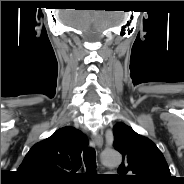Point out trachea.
I'll use <instances>...</instances> for the list:
<instances>
[{"label": "trachea", "mask_w": 184, "mask_h": 184, "mask_svg": "<svg viewBox=\"0 0 184 184\" xmlns=\"http://www.w3.org/2000/svg\"><path fill=\"white\" fill-rule=\"evenodd\" d=\"M83 160H84L87 172L95 173L96 171V152L93 148H89L83 153Z\"/></svg>", "instance_id": "trachea-1"}]
</instances>
